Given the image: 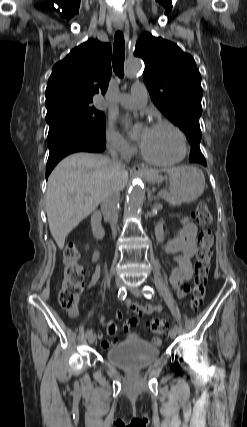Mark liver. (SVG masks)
<instances>
[{
  "mask_svg": "<svg viewBox=\"0 0 247 427\" xmlns=\"http://www.w3.org/2000/svg\"><path fill=\"white\" fill-rule=\"evenodd\" d=\"M124 166L104 155L79 152L64 158L51 172L46 193L50 232L58 247L99 205L105 194L122 191L128 182Z\"/></svg>",
  "mask_w": 247,
  "mask_h": 427,
  "instance_id": "1",
  "label": "liver"
}]
</instances>
